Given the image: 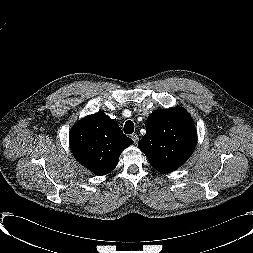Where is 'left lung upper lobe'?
<instances>
[{
    "mask_svg": "<svg viewBox=\"0 0 253 253\" xmlns=\"http://www.w3.org/2000/svg\"><path fill=\"white\" fill-rule=\"evenodd\" d=\"M146 134L138 147L159 172L180 167L193 153L197 132L191 116L182 108L159 109L148 117Z\"/></svg>",
    "mask_w": 253,
    "mask_h": 253,
    "instance_id": "obj_1",
    "label": "left lung upper lobe"
}]
</instances>
